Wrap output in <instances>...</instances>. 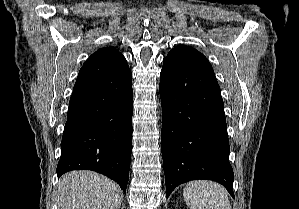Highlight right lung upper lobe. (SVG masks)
Wrapping results in <instances>:
<instances>
[{
  "instance_id": "cb5924a9",
  "label": "right lung upper lobe",
  "mask_w": 299,
  "mask_h": 209,
  "mask_svg": "<svg viewBox=\"0 0 299 209\" xmlns=\"http://www.w3.org/2000/svg\"><path fill=\"white\" fill-rule=\"evenodd\" d=\"M105 69L115 70L120 76L130 73L124 56L113 47L98 49L86 60L80 71L92 72Z\"/></svg>"
}]
</instances>
